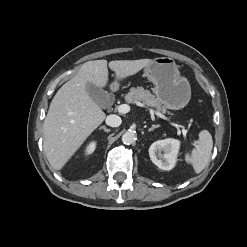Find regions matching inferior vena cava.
<instances>
[{"label":"inferior vena cava","instance_id":"1","mask_svg":"<svg viewBox=\"0 0 247 247\" xmlns=\"http://www.w3.org/2000/svg\"><path fill=\"white\" fill-rule=\"evenodd\" d=\"M122 123L121 118L118 115H109L106 118V124L111 127H118Z\"/></svg>","mask_w":247,"mask_h":247}]
</instances>
